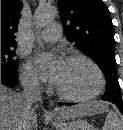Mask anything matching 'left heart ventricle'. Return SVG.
<instances>
[{
	"mask_svg": "<svg viewBox=\"0 0 123 130\" xmlns=\"http://www.w3.org/2000/svg\"><path fill=\"white\" fill-rule=\"evenodd\" d=\"M94 69L84 61H64L54 85L62 92L73 96H85L97 87Z\"/></svg>",
	"mask_w": 123,
	"mask_h": 130,
	"instance_id": "obj_1",
	"label": "left heart ventricle"
}]
</instances>
